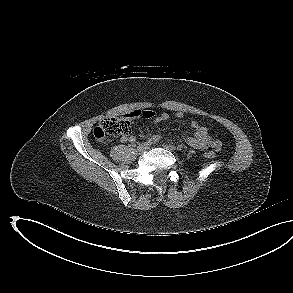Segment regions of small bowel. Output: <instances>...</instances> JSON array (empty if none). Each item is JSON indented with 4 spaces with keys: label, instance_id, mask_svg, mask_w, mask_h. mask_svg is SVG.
Listing matches in <instances>:
<instances>
[{
    "label": "small bowel",
    "instance_id": "obj_1",
    "mask_svg": "<svg viewBox=\"0 0 293 293\" xmlns=\"http://www.w3.org/2000/svg\"><path fill=\"white\" fill-rule=\"evenodd\" d=\"M143 116L147 119L152 120L154 123L164 122L169 119L167 113L156 114L152 110H134L126 115L128 119H135L137 117ZM182 113H177L176 118H182ZM191 127L193 129V134L187 136V143L197 149H208L211 151H218L221 147L220 141L212 138L209 135L208 128L206 126L200 125L197 121L193 120L191 122ZM122 142L134 143L135 137L132 135H124L121 138Z\"/></svg>",
    "mask_w": 293,
    "mask_h": 293
}]
</instances>
